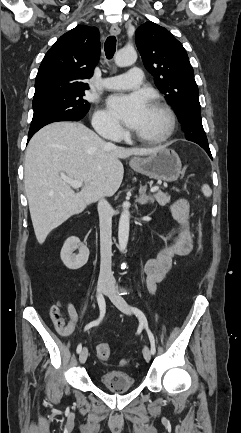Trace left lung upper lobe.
<instances>
[{
	"label": "left lung upper lobe",
	"instance_id": "1",
	"mask_svg": "<svg viewBox=\"0 0 241 433\" xmlns=\"http://www.w3.org/2000/svg\"><path fill=\"white\" fill-rule=\"evenodd\" d=\"M136 46L157 88L177 111L186 139L209 147L201 121L198 86L182 44L164 27L153 22L139 26Z\"/></svg>",
	"mask_w": 241,
	"mask_h": 433
}]
</instances>
